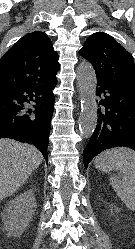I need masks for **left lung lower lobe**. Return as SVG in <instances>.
Returning <instances> with one entry per match:
<instances>
[{
  "mask_svg": "<svg viewBox=\"0 0 135 249\" xmlns=\"http://www.w3.org/2000/svg\"><path fill=\"white\" fill-rule=\"evenodd\" d=\"M97 86L98 119L83 151L85 168L106 149L125 146L135 150V90L99 80Z\"/></svg>",
  "mask_w": 135,
  "mask_h": 249,
  "instance_id": "0a47b994",
  "label": "left lung lower lobe"
}]
</instances>
